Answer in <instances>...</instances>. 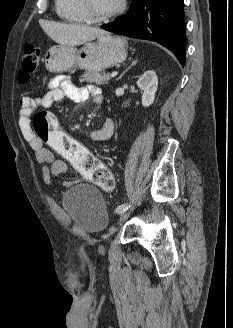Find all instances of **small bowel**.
Listing matches in <instances>:
<instances>
[{
    "instance_id": "obj_1",
    "label": "small bowel",
    "mask_w": 233,
    "mask_h": 328,
    "mask_svg": "<svg viewBox=\"0 0 233 328\" xmlns=\"http://www.w3.org/2000/svg\"><path fill=\"white\" fill-rule=\"evenodd\" d=\"M89 96H92L97 104L103 101V95L99 88L95 86L77 87L67 76L61 75L49 82L48 90L44 95L36 98L24 96L20 99L19 127L22 135L34 150L37 161L43 165L44 181L48 185L53 183L54 177L67 171V164L65 161L55 158L44 143L33 134L31 117L36 108H50L54 103L66 97L75 102H82ZM113 131V122L106 118L102 127L91 133V138L95 141H105L113 135ZM62 185L68 186L70 182H63Z\"/></svg>"
}]
</instances>
